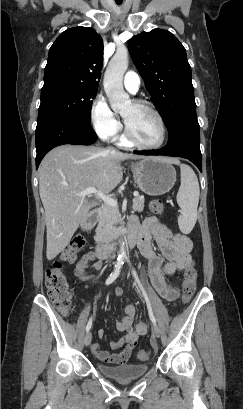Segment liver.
Here are the masks:
<instances>
[{
	"mask_svg": "<svg viewBox=\"0 0 243 409\" xmlns=\"http://www.w3.org/2000/svg\"><path fill=\"white\" fill-rule=\"evenodd\" d=\"M144 158L80 145H62L44 157L38 172L39 193L45 209L48 260H53L65 249L90 209L97 205L96 201L75 196L73 192L95 187L108 193L122 180V161Z\"/></svg>",
	"mask_w": 243,
	"mask_h": 409,
	"instance_id": "obj_1",
	"label": "liver"
}]
</instances>
